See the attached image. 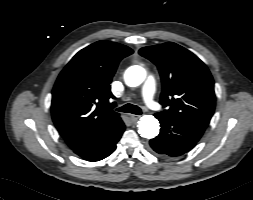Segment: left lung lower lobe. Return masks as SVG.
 I'll return each instance as SVG.
<instances>
[{"label":"left lung lower lobe","instance_id":"0a47b994","mask_svg":"<svg viewBox=\"0 0 253 200\" xmlns=\"http://www.w3.org/2000/svg\"><path fill=\"white\" fill-rule=\"evenodd\" d=\"M161 125L160 134L150 140L151 148L164 157L180 156L191 150L205 128L189 121L159 112L155 114Z\"/></svg>","mask_w":253,"mask_h":200}]
</instances>
